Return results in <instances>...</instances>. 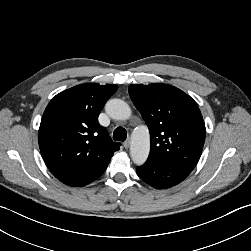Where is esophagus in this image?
Masks as SVG:
<instances>
[{"instance_id": "obj_1", "label": "esophagus", "mask_w": 251, "mask_h": 251, "mask_svg": "<svg viewBox=\"0 0 251 251\" xmlns=\"http://www.w3.org/2000/svg\"><path fill=\"white\" fill-rule=\"evenodd\" d=\"M123 146L127 149L129 148L130 146V140H126L124 143H123Z\"/></svg>"}]
</instances>
